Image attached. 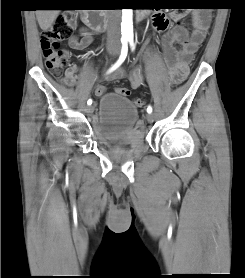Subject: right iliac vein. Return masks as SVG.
I'll return each instance as SVG.
<instances>
[{
  "instance_id": "obj_1",
  "label": "right iliac vein",
  "mask_w": 245,
  "mask_h": 278,
  "mask_svg": "<svg viewBox=\"0 0 245 278\" xmlns=\"http://www.w3.org/2000/svg\"><path fill=\"white\" fill-rule=\"evenodd\" d=\"M116 53H117V50H115V49L111 50V54H116ZM86 110H87L88 114H91L94 111V107L93 106H88Z\"/></svg>"
}]
</instances>
